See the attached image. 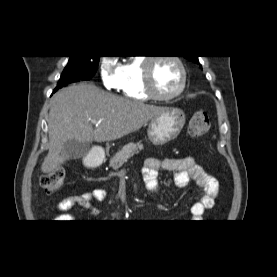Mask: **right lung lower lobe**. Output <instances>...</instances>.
<instances>
[{"label":"right lung lower lobe","instance_id":"98d812e1","mask_svg":"<svg viewBox=\"0 0 277 277\" xmlns=\"http://www.w3.org/2000/svg\"><path fill=\"white\" fill-rule=\"evenodd\" d=\"M57 89H59V87H56V89H55V90H57Z\"/></svg>","mask_w":277,"mask_h":277}]
</instances>
